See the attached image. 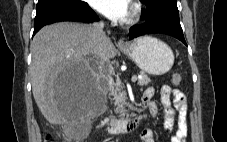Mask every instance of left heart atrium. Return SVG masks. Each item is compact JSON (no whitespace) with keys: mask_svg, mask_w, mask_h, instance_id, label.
Segmentation results:
<instances>
[{"mask_svg":"<svg viewBox=\"0 0 227 142\" xmlns=\"http://www.w3.org/2000/svg\"><path fill=\"white\" fill-rule=\"evenodd\" d=\"M91 5L114 21H124L129 16L130 0H90Z\"/></svg>","mask_w":227,"mask_h":142,"instance_id":"obj_1","label":"left heart atrium"}]
</instances>
